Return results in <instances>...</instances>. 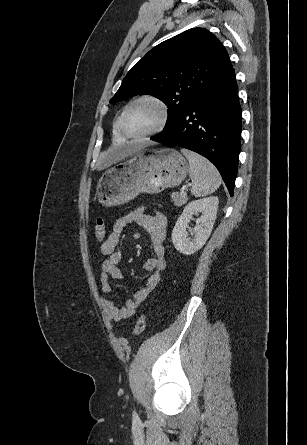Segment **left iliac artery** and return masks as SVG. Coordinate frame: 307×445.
Returning a JSON list of instances; mask_svg holds the SVG:
<instances>
[{"label":"left iliac artery","instance_id":"left-iliac-artery-1","mask_svg":"<svg viewBox=\"0 0 307 445\" xmlns=\"http://www.w3.org/2000/svg\"><path fill=\"white\" fill-rule=\"evenodd\" d=\"M139 417H138V414L135 412V411H133V421L134 422H139Z\"/></svg>","mask_w":307,"mask_h":445}]
</instances>
